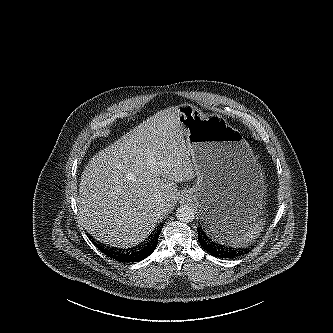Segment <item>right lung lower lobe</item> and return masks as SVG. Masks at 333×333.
Returning a JSON list of instances; mask_svg holds the SVG:
<instances>
[{
  "mask_svg": "<svg viewBox=\"0 0 333 333\" xmlns=\"http://www.w3.org/2000/svg\"><path fill=\"white\" fill-rule=\"evenodd\" d=\"M160 235V232H157L154 234L151 240H149L148 244L141 250L135 252V253H124L119 251H115L109 248H105L101 246L100 244H96V246L102 251V253H105L108 257L115 259L119 262H137L141 261L144 258L148 257L156 248L158 237Z\"/></svg>",
  "mask_w": 333,
  "mask_h": 333,
  "instance_id": "1",
  "label": "right lung lower lobe"
}]
</instances>
